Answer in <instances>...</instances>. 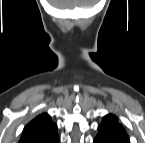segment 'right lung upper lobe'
Returning <instances> with one entry per match:
<instances>
[{
  "mask_svg": "<svg viewBox=\"0 0 145 143\" xmlns=\"http://www.w3.org/2000/svg\"><path fill=\"white\" fill-rule=\"evenodd\" d=\"M57 126L44 113L33 119L23 130L19 143H58Z\"/></svg>",
  "mask_w": 145,
  "mask_h": 143,
  "instance_id": "right-lung-upper-lobe-1",
  "label": "right lung upper lobe"
}]
</instances>
